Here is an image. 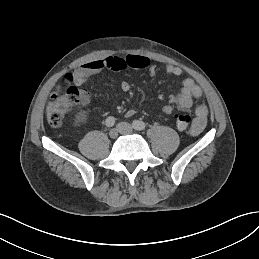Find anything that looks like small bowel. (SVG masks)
Wrapping results in <instances>:
<instances>
[{
	"instance_id": "small-bowel-1",
	"label": "small bowel",
	"mask_w": 259,
	"mask_h": 259,
	"mask_svg": "<svg viewBox=\"0 0 259 259\" xmlns=\"http://www.w3.org/2000/svg\"><path fill=\"white\" fill-rule=\"evenodd\" d=\"M125 69H147L151 75L157 73V67L151 64L149 58L142 55H128L126 57L109 56L90 61L75 69L70 75L76 85H81L104 70L122 71ZM165 73L170 76H180L182 74V69L170 64L165 67ZM120 88L123 92H129L131 85L128 82L123 81ZM200 97H202L201 88L191 78H185L182 82L180 92L175 98V102L181 109L187 110L192 107L193 101ZM171 112V105L164 106L163 114L169 115ZM208 112L206 104H199L195 108V116L190 127V133L192 135H199L205 129ZM134 114V110H129L126 113L127 116H132Z\"/></svg>"
}]
</instances>
